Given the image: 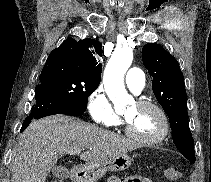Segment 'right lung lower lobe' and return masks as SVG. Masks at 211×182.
<instances>
[{
  "instance_id": "98d812e1",
  "label": "right lung lower lobe",
  "mask_w": 211,
  "mask_h": 182,
  "mask_svg": "<svg viewBox=\"0 0 211 182\" xmlns=\"http://www.w3.org/2000/svg\"><path fill=\"white\" fill-rule=\"evenodd\" d=\"M35 99L36 105L32 107L30 115L25 119L21 132L28 127L33 118L40 119L54 114L81 116L84 113V111L76 109L68 101L47 92H36Z\"/></svg>"
}]
</instances>
